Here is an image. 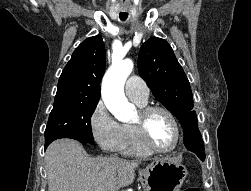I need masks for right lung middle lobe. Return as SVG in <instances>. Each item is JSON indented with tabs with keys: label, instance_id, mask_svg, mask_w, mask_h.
Returning a JSON list of instances; mask_svg holds the SVG:
<instances>
[{
	"label": "right lung middle lobe",
	"instance_id": "right-lung-middle-lobe-1",
	"mask_svg": "<svg viewBox=\"0 0 251 191\" xmlns=\"http://www.w3.org/2000/svg\"><path fill=\"white\" fill-rule=\"evenodd\" d=\"M97 103L53 106L45 130V145L59 138H72L94 144L91 116Z\"/></svg>",
	"mask_w": 251,
	"mask_h": 191
}]
</instances>
